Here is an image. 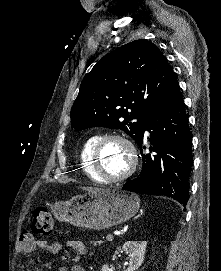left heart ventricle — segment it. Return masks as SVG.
<instances>
[{"mask_svg":"<svg viewBox=\"0 0 221 271\" xmlns=\"http://www.w3.org/2000/svg\"><path fill=\"white\" fill-rule=\"evenodd\" d=\"M100 141H108L107 144H101L100 152H97L100 153L98 163L103 167V172H108L109 177H121V170L127 169V166H129L128 161H124V156H128L127 152H123V149H121V141L124 140L108 138Z\"/></svg>","mask_w":221,"mask_h":271,"instance_id":"left-heart-ventricle-1","label":"left heart ventricle"}]
</instances>
